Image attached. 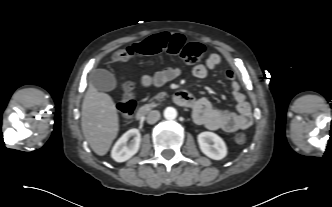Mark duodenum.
Returning <instances> with one entry per match:
<instances>
[{
  "instance_id": "410a0bca",
  "label": "duodenum",
  "mask_w": 332,
  "mask_h": 207,
  "mask_svg": "<svg viewBox=\"0 0 332 207\" xmlns=\"http://www.w3.org/2000/svg\"><path fill=\"white\" fill-rule=\"evenodd\" d=\"M173 100L177 105L181 107H192L195 101L194 96L185 90L177 91L174 94ZM151 108V105L142 106L135 115L136 120H144L147 114L150 112Z\"/></svg>"
}]
</instances>
